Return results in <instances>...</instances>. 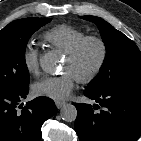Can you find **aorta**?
Returning a JSON list of instances; mask_svg holds the SVG:
<instances>
[{"label": "aorta", "instance_id": "1", "mask_svg": "<svg viewBox=\"0 0 141 141\" xmlns=\"http://www.w3.org/2000/svg\"><path fill=\"white\" fill-rule=\"evenodd\" d=\"M40 66L47 73H54L56 71V59L51 53H47L40 58ZM60 116L63 120L72 122L77 117V109L72 104L64 105L60 110Z\"/></svg>", "mask_w": 141, "mask_h": 141}]
</instances>
